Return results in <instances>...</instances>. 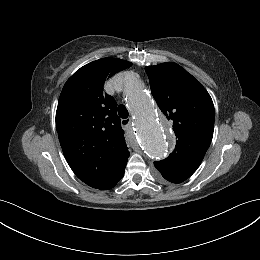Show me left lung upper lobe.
<instances>
[{"label":"left lung upper lobe","instance_id":"obj_1","mask_svg":"<svg viewBox=\"0 0 260 260\" xmlns=\"http://www.w3.org/2000/svg\"><path fill=\"white\" fill-rule=\"evenodd\" d=\"M153 97L173 124L176 147L155 162L159 175L189 178L201 164L214 131L215 111L206 89L176 63L145 68Z\"/></svg>","mask_w":260,"mask_h":260}]
</instances>
